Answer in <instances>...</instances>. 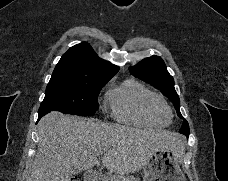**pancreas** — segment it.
I'll list each match as a JSON object with an SVG mask.
<instances>
[{"label":"pancreas","instance_id":"obj_1","mask_svg":"<svg viewBox=\"0 0 228 181\" xmlns=\"http://www.w3.org/2000/svg\"><path fill=\"white\" fill-rule=\"evenodd\" d=\"M106 175L107 177H104L105 181H135L133 177H126L122 173H113V171H109Z\"/></svg>","mask_w":228,"mask_h":181}]
</instances>
